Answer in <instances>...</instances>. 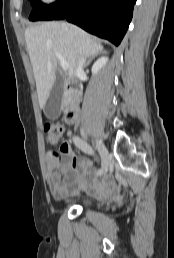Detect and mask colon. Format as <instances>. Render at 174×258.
<instances>
[{"mask_svg": "<svg viewBox=\"0 0 174 258\" xmlns=\"http://www.w3.org/2000/svg\"><path fill=\"white\" fill-rule=\"evenodd\" d=\"M44 130L47 136V141L51 146L58 145L64 135L66 134L67 127L61 122H47L44 125ZM66 150V145L63 143L60 147V150H54L51 152V155L57 159H60Z\"/></svg>", "mask_w": 174, "mask_h": 258, "instance_id": "5ec220e1", "label": "colon"}]
</instances>
